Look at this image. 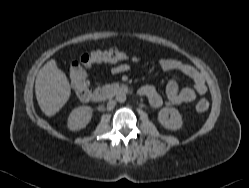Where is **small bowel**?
Returning a JSON list of instances; mask_svg holds the SVG:
<instances>
[{"mask_svg": "<svg viewBox=\"0 0 249 188\" xmlns=\"http://www.w3.org/2000/svg\"><path fill=\"white\" fill-rule=\"evenodd\" d=\"M129 59V58H128ZM159 66L164 71H178L193 81V87L179 88L176 80H170L166 84L165 97H163L153 86H142L138 90V94L147 98L153 107H162L164 105H181L194 101L198 96L207 92L205 79L200 72L192 65L183 63L173 58H162ZM126 64H119L114 67L115 73L126 71Z\"/></svg>", "mask_w": 249, "mask_h": 188, "instance_id": "obj_1", "label": "small bowel"}]
</instances>
